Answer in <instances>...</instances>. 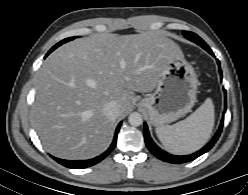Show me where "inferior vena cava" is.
<instances>
[{
    "label": "inferior vena cava",
    "instance_id": "602c4592",
    "mask_svg": "<svg viewBox=\"0 0 248 195\" xmlns=\"http://www.w3.org/2000/svg\"><path fill=\"white\" fill-rule=\"evenodd\" d=\"M103 113L112 120L117 119L120 115L119 104L114 100L107 102L103 108Z\"/></svg>",
    "mask_w": 248,
    "mask_h": 195
}]
</instances>
